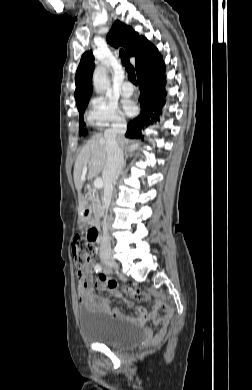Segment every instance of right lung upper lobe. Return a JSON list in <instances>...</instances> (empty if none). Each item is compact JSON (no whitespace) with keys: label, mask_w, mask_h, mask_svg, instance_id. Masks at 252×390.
<instances>
[{"label":"right lung upper lobe","mask_w":252,"mask_h":390,"mask_svg":"<svg viewBox=\"0 0 252 390\" xmlns=\"http://www.w3.org/2000/svg\"><path fill=\"white\" fill-rule=\"evenodd\" d=\"M110 45H122L129 57H135L137 76L145 70L164 65L157 48L143 36H139L130 26L116 21L107 35ZM94 57L91 51L85 52L81 58L75 75V99L78 108L86 106L92 94V74L94 70Z\"/></svg>","instance_id":"obj_1"}]
</instances>
